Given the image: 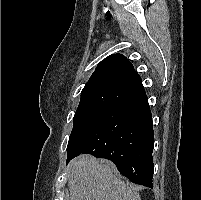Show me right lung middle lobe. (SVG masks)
Segmentation results:
<instances>
[{"label":"right lung middle lobe","instance_id":"1","mask_svg":"<svg viewBox=\"0 0 201 200\" xmlns=\"http://www.w3.org/2000/svg\"><path fill=\"white\" fill-rule=\"evenodd\" d=\"M131 101L129 98L107 91L81 93L75 112L74 126L68 144L84 129Z\"/></svg>","mask_w":201,"mask_h":200}]
</instances>
